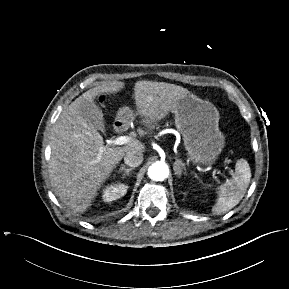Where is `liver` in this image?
Returning <instances> with one entry per match:
<instances>
[{"instance_id":"liver-1","label":"liver","mask_w":289,"mask_h":289,"mask_svg":"<svg viewBox=\"0 0 289 289\" xmlns=\"http://www.w3.org/2000/svg\"><path fill=\"white\" fill-rule=\"evenodd\" d=\"M119 81L104 82L75 99L59 116L50 141L49 177L55 194L77 211H85L98 195L111 172L128 152L144 151L132 138L123 146H104L103 137L84 118L83 109L95 106L101 94L124 88ZM189 94L186 88L165 82L138 81L134 86L137 114L152 129L173 111L177 102Z\"/></svg>"}]
</instances>
